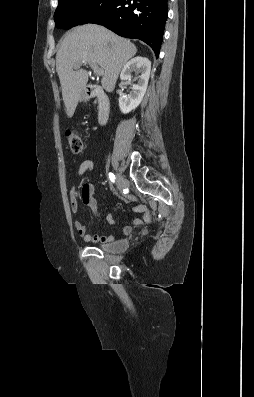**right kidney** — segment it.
Masks as SVG:
<instances>
[{"mask_svg": "<svg viewBox=\"0 0 254 397\" xmlns=\"http://www.w3.org/2000/svg\"><path fill=\"white\" fill-rule=\"evenodd\" d=\"M151 71V62L146 57H135L126 63L121 71L122 81L131 80L132 72L139 73L138 83L133 85L132 91L128 95L119 98V107L123 114L134 110L142 102L148 86Z\"/></svg>", "mask_w": 254, "mask_h": 397, "instance_id": "obj_1", "label": "right kidney"}]
</instances>
